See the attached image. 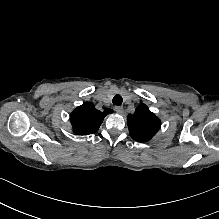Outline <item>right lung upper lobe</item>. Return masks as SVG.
Wrapping results in <instances>:
<instances>
[{
  "label": "right lung upper lobe",
  "instance_id": "obj_1",
  "mask_svg": "<svg viewBox=\"0 0 219 219\" xmlns=\"http://www.w3.org/2000/svg\"><path fill=\"white\" fill-rule=\"evenodd\" d=\"M112 112L111 109L100 112L95 109L92 103L85 102L78 106L70 115L73 131L80 135L94 133L99 129L104 117Z\"/></svg>",
  "mask_w": 219,
  "mask_h": 219
}]
</instances>
